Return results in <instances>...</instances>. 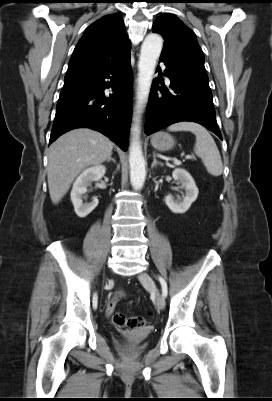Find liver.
Here are the masks:
<instances>
[{
  "label": "liver",
  "instance_id": "liver-1",
  "mask_svg": "<svg viewBox=\"0 0 272 401\" xmlns=\"http://www.w3.org/2000/svg\"><path fill=\"white\" fill-rule=\"evenodd\" d=\"M113 143L102 133L88 128L71 130L49 149L47 178L51 201L58 204L74 179L85 168L98 165L112 155Z\"/></svg>",
  "mask_w": 272,
  "mask_h": 401
}]
</instances>
